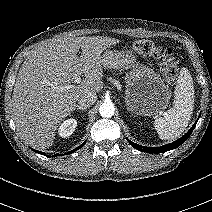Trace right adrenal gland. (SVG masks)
<instances>
[{"mask_svg":"<svg viewBox=\"0 0 212 212\" xmlns=\"http://www.w3.org/2000/svg\"><path fill=\"white\" fill-rule=\"evenodd\" d=\"M76 109H80L81 111H86L87 107H83V106L76 105V106L74 107V110H73V111H75Z\"/></svg>","mask_w":212,"mask_h":212,"instance_id":"1","label":"right adrenal gland"}]
</instances>
